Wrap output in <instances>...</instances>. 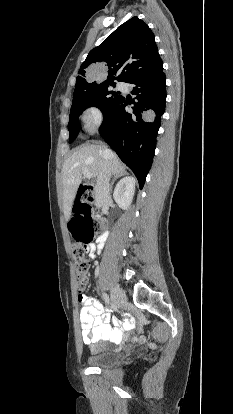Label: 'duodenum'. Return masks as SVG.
<instances>
[{
    "mask_svg": "<svg viewBox=\"0 0 233 414\" xmlns=\"http://www.w3.org/2000/svg\"><path fill=\"white\" fill-rule=\"evenodd\" d=\"M92 190L93 189L91 186L83 185L80 187L77 201H75V203L72 205V210L74 212H80L85 204L90 206L91 204L95 203L96 199L93 196Z\"/></svg>",
    "mask_w": 233,
    "mask_h": 414,
    "instance_id": "obj_1",
    "label": "duodenum"
}]
</instances>
